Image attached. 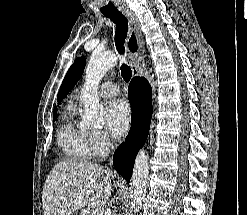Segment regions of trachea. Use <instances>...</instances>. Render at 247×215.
<instances>
[{"label":"trachea","mask_w":247,"mask_h":215,"mask_svg":"<svg viewBox=\"0 0 247 215\" xmlns=\"http://www.w3.org/2000/svg\"><path fill=\"white\" fill-rule=\"evenodd\" d=\"M104 15L110 18L115 23L116 25V28H115L116 49L119 52V54L124 55L125 53L124 42H125V39L127 37V32H128L127 18L119 11L109 13V14H104ZM120 70H121V75L123 79L126 82H129L132 77L131 68L127 64L123 63L120 67Z\"/></svg>","instance_id":"trachea-1"}]
</instances>
